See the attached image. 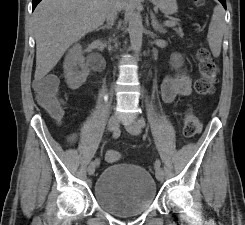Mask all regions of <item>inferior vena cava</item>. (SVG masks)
Returning <instances> with one entry per match:
<instances>
[{
    "label": "inferior vena cava",
    "mask_w": 245,
    "mask_h": 225,
    "mask_svg": "<svg viewBox=\"0 0 245 225\" xmlns=\"http://www.w3.org/2000/svg\"><path fill=\"white\" fill-rule=\"evenodd\" d=\"M119 11L118 4L116 0H110L106 8V19L107 22H114Z\"/></svg>",
    "instance_id": "inferior-vena-cava-1"
}]
</instances>
